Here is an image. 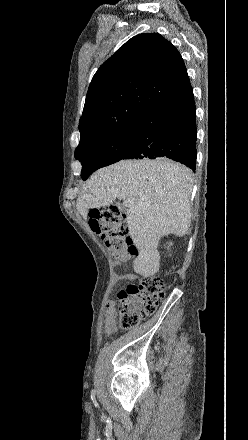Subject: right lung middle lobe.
I'll return each instance as SVG.
<instances>
[{
  "mask_svg": "<svg viewBox=\"0 0 248 440\" xmlns=\"http://www.w3.org/2000/svg\"><path fill=\"white\" fill-rule=\"evenodd\" d=\"M129 144V132L127 127H124L76 149L75 158L82 164V179L86 180L95 170L121 160Z\"/></svg>",
  "mask_w": 248,
  "mask_h": 440,
  "instance_id": "obj_1",
  "label": "right lung middle lobe"
}]
</instances>
